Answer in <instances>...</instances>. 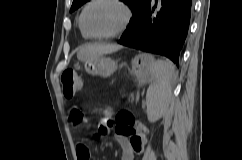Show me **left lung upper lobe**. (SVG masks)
<instances>
[{"instance_id": "1", "label": "left lung upper lobe", "mask_w": 242, "mask_h": 160, "mask_svg": "<svg viewBox=\"0 0 242 160\" xmlns=\"http://www.w3.org/2000/svg\"><path fill=\"white\" fill-rule=\"evenodd\" d=\"M87 1H89V0H73L70 12H73L74 10L79 8L81 5H83ZM121 1L126 3L131 8V10L133 12V18H131V20L128 24V27H127V29H128L130 27L133 19L136 18V16L140 13V11L145 6L147 0H121Z\"/></svg>"}]
</instances>
